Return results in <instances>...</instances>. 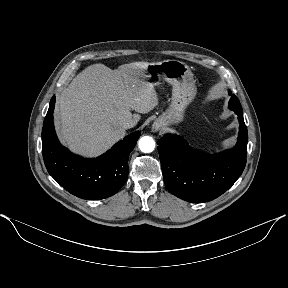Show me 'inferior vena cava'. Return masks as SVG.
<instances>
[{
    "mask_svg": "<svg viewBox=\"0 0 288 288\" xmlns=\"http://www.w3.org/2000/svg\"><path fill=\"white\" fill-rule=\"evenodd\" d=\"M136 124H137V121L135 119H129L123 123V128L124 129H130V128L136 126Z\"/></svg>",
    "mask_w": 288,
    "mask_h": 288,
    "instance_id": "602c4592",
    "label": "inferior vena cava"
}]
</instances>
